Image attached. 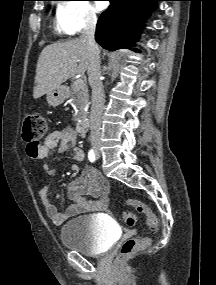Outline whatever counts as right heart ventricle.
<instances>
[{"label": "right heart ventricle", "instance_id": "1", "mask_svg": "<svg viewBox=\"0 0 216 285\" xmlns=\"http://www.w3.org/2000/svg\"><path fill=\"white\" fill-rule=\"evenodd\" d=\"M57 30L58 31H62V29L60 28L59 24L57 23Z\"/></svg>", "mask_w": 216, "mask_h": 285}]
</instances>
